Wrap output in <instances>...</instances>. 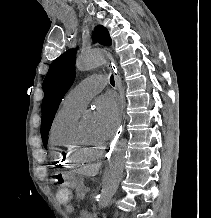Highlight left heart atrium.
<instances>
[{
	"label": "left heart atrium",
	"mask_w": 211,
	"mask_h": 218,
	"mask_svg": "<svg viewBox=\"0 0 211 218\" xmlns=\"http://www.w3.org/2000/svg\"><path fill=\"white\" fill-rule=\"evenodd\" d=\"M97 115L96 130L103 139H109L118 129L120 108L117 98L112 93H105L95 101Z\"/></svg>",
	"instance_id": "obj_1"
}]
</instances>
